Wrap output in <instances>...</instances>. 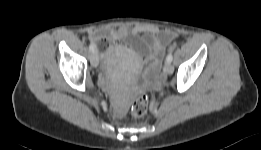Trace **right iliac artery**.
Here are the masks:
<instances>
[{"label":"right iliac artery","mask_w":261,"mask_h":150,"mask_svg":"<svg viewBox=\"0 0 261 150\" xmlns=\"http://www.w3.org/2000/svg\"><path fill=\"white\" fill-rule=\"evenodd\" d=\"M89 49H90L91 52H95V50H96V48L93 44L89 45Z\"/></svg>","instance_id":"82829eb1"}]
</instances>
